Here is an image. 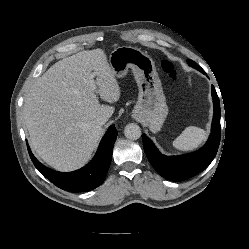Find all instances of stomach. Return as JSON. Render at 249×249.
Returning <instances> with one entry per match:
<instances>
[{"instance_id": "stomach-1", "label": "stomach", "mask_w": 249, "mask_h": 249, "mask_svg": "<svg viewBox=\"0 0 249 249\" xmlns=\"http://www.w3.org/2000/svg\"><path fill=\"white\" fill-rule=\"evenodd\" d=\"M109 65L118 78L132 69L139 89L133 118L144 122L152 132L159 131L168 115V107L152 58L140 49L121 46L111 52Z\"/></svg>"}]
</instances>
